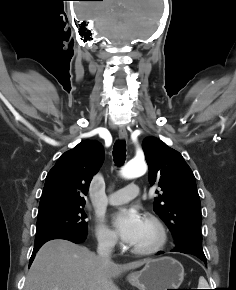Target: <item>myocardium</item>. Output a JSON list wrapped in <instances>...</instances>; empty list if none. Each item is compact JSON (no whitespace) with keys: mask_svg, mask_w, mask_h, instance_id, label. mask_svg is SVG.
<instances>
[{"mask_svg":"<svg viewBox=\"0 0 236 290\" xmlns=\"http://www.w3.org/2000/svg\"><path fill=\"white\" fill-rule=\"evenodd\" d=\"M143 221L153 228L156 238L152 244L144 247H130V251L136 255L148 256L159 252L164 247L167 241V231L162 221L151 213H146Z\"/></svg>","mask_w":236,"mask_h":290,"instance_id":"f54148a6","label":"myocardium"}]
</instances>
